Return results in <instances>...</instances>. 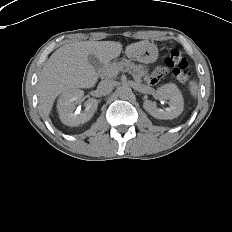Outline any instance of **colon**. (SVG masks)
Segmentation results:
<instances>
[{"label":"colon","mask_w":232,"mask_h":232,"mask_svg":"<svg viewBox=\"0 0 232 232\" xmlns=\"http://www.w3.org/2000/svg\"><path fill=\"white\" fill-rule=\"evenodd\" d=\"M163 65H165L167 71H169L180 82L185 84L189 83L190 74L187 69L188 63L178 49H171L169 51L164 58Z\"/></svg>","instance_id":"1"}]
</instances>
